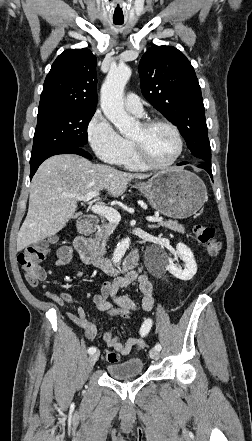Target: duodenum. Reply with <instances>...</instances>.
I'll list each match as a JSON object with an SVG mask.
<instances>
[{
    "label": "duodenum",
    "instance_id": "duodenum-1",
    "mask_svg": "<svg viewBox=\"0 0 252 441\" xmlns=\"http://www.w3.org/2000/svg\"><path fill=\"white\" fill-rule=\"evenodd\" d=\"M99 220L94 215L86 216L79 226L80 234L74 240V247L86 264L96 265L108 275H118L122 271L133 270L138 261L137 252H132L121 266L114 265L103 258L93 241L87 235L98 226Z\"/></svg>",
    "mask_w": 252,
    "mask_h": 441
}]
</instances>
